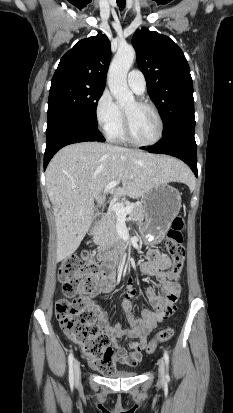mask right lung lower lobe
<instances>
[{
  "instance_id": "right-lung-lower-lobe-1",
  "label": "right lung lower lobe",
  "mask_w": 233,
  "mask_h": 413,
  "mask_svg": "<svg viewBox=\"0 0 233 413\" xmlns=\"http://www.w3.org/2000/svg\"><path fill=\"white\" fill-rule=\"evenodd\" d=\"M86 141L104 142V138L97 127L75 117L58 115L49 119L46 130L44 170L59 149L69 144Z\"/></svg>"
}]
</instances>
